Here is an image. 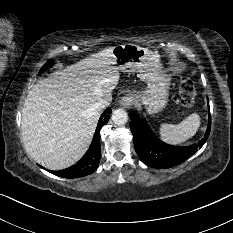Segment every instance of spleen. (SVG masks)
<instances>
[{"instance_id":"1","label":"spleen","mask_w":233,"mask_h":233,"mask_svg":"<svg viewBox=\"0 0 233 233\" xmlns=\"http://www.w3.org/2000/svg\"><path fill=\"white\" fill-rule=\"evenodd\" d=\"M201 124L200 116L193 113L179 124H161L160 137L170 144H181L193 137Z\"/></svg>"}]
</instances>
